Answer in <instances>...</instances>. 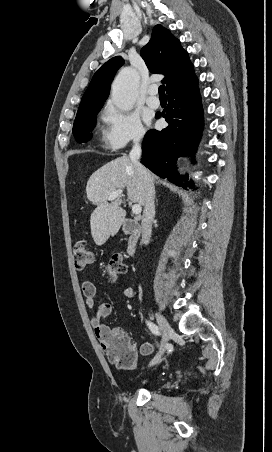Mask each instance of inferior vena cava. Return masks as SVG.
Listing matches in <instances>:
<instances>
[{
  "label": "inferior vena cava",
  "mask_w": 272,
  "mask_h": 452,
  "mask_svg": "<svg viewBox=\"0 0 272 452\" xmlns=\"http://www.w3.org/2000/svg\"><path fill=\"white\" fill-rule=\"evenodd\" d=\"M141 139L142 135L138 136L134 140L133 147L129 153V158L142 181V198H143V218H142V240L141 242L145 245L149 244L151 232H152V222L155 217V189L153 180L147 169L140 163L141 158Z\"/></svg>",
  "instance_id": "obj_1"
}]
</instances>
